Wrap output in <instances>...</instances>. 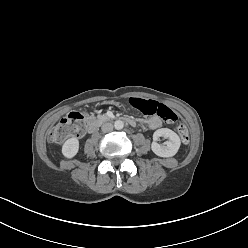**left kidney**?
Masks as SVG:
<instances>
[{
  "instance_id": "obj_1",
  "label": "left kidney",
  "mask_w": 248,
  "mask_h": 248,
  "mask_svg": "<svg viewBox=\"0 0 248 248\" xmlns=\"http://www.w3.org/2000/svg\"><path fill=\"white\" fill-rule=\"evenodd\" d=\"M160 137L167 138L168 141L164 145H160L157 143ZM180 145V138L174 131L168 128H161L153 134L151 149L159 157H172L178 152Z\"/></svg>"
}]
</instances>
